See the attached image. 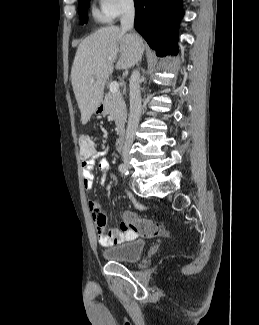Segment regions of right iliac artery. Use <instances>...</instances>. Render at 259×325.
<instances>
[{"instance_id": "82829eb1", "label": "right iliac artery", "mask_w": 259, "mask_h": 325, "mask_svg": "<svg viewBox=\"0 0 259 325\" xmlns=\"http://www.w3.org/2000/svg\"><path fill=\"white\" fill-rule=\"evenodd\" d=\"M125 164H120L119 165V171L121 172L122 170H123V166H124Z\"/></svg>"}]
</instances>
